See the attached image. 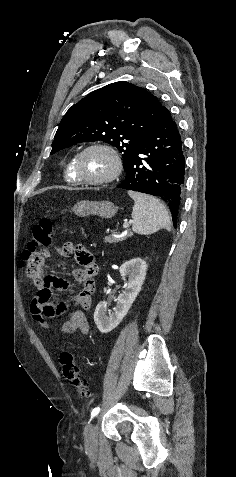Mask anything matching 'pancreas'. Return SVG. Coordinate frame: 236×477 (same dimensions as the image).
I'll use <instances>...</instances> for the list:
<instances>
[{"label":"pancreas","mask_w":236,"mask_h":477,"mask_svg":"<svg viewBox=\"0 0 236 477\" xmlns=\"http://www.w3.org/2000/svg\"><path fill=\"white\" fill-rule=\"evenodd\" d=\"M133 233L128 231L126 234H112L111 236H105L104 241L106 243H118L120 241L126 240L128 237H131Z\"/></svg>","instance_id":"pancreas-1"}]
</instances>
